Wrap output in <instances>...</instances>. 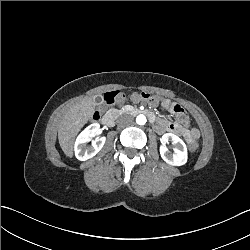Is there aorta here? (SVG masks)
I'll list each match as a JSON object with an SVG mask.
<instances>
[{
	"label": "aorta",
	"instance_id": "aorta-1",
	"mask_svg": "<svg viewBox=\"0 0 250 250\" xmlns=\"http://www.w3.org/2000/svg\"><path fill=\"white\" fill-rule=\"evenodd\" d=\"M146 117L143 114H140L136 117V123L138 125H144L146 123Z\"/></svg>",
	"mask_w": 250,
	"mask_h": 250
}]
</instances>
